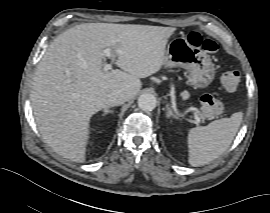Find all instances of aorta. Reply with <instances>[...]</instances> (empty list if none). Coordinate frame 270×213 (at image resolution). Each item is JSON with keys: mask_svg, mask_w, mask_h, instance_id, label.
<instances>
[{"mask_svg": "<svg viewBox=\"0 0 270 213\" xmlns=\"http://www.w3.org/2000/svg\"><path fill=\"white\" fill-rule=\"evenodd\" d=\"M156 97L151 93H143L138 98V106L144 111H152L156 107Z\"/></svg>", "mask_w": 270, "mask_h": 213, "instance_id": "762f6f07", "label": "aorta"}]
</instances>
